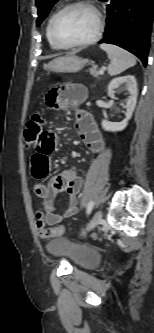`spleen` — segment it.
<instances>
[{"label":"spleen","mask_w":154,"mask_h":333,"mask_svg":"<svg viewBox=\"0 0 154 333\" xmlns=\"http://www.w3.org/2000/svg\"><path fill=\"white\" fill-rule=\"evenodd\" d=\"M100 48L107 53L111 60L108 66V73L111 76L118 75L136 65V58L131 53L118 46L101 44Z\"/></svg>","instance_id":"spleen-1"}]
</instances>
